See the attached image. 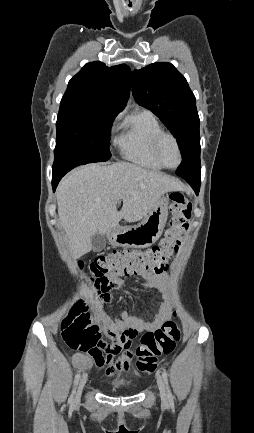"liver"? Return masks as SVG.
Masks as SVG:
<instances>
[{"instance_id": "1", "label": "liver", "mask_w": 254, "mask_h": 433, "mask_svg": "<svg viewBox=\"0 0 254 433\" xmlns=\"http://www.w3.org/2000/svg\"><path fill=\"white\" fill-rule=\"evenodd\" d=\"M174 178L128 162L89 164L68 174L59 184L58 214L73 256L92 250L94 234L104 235L121 219L137 222L167 192L180 190ZM123 201L122 209L117 204Z\"/></svg>"}]
</instances>
